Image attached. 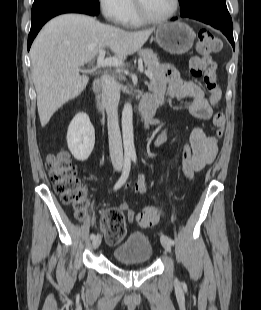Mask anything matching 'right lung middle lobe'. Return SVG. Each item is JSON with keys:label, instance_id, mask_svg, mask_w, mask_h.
Segmentation results:
<instances>
[{"label": "right lung middle lobe", "instance_id": "obj_1", "mask_svg": "<svg viewBox=\"0 0 261 310\" xmlns=\"http://www.w3.org/2000/svg\"><path fill=\"white\" fill-rule=\"evenodd\" d=\"M53 2H76V3H83V4L91 5L97 8L100 7L98 0H35L32 6V10H35L45 4L53 3Z\"/></svg>", "mask_w": 261, "mask_h": 310}]
</instances>
